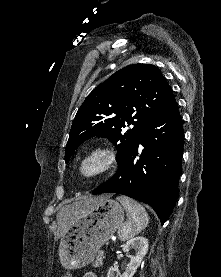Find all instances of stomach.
I'll use <instances>...</instances> for the list:
<instances>
[{
	"label": "stomach",
	"instance_id": "1",
	"mask_svg": "<svg viewBox=\"0 0 221 277\" xmlns=\"http://www.w3.org/2000/svg\"><path fill=\"white\" fill-rule=\"evenodd\" d=\"M124 220L122 206L109 197L83 208L68 223L61 236L59 260L65 269H79L90 264L98 250L120 228Z\"/></svg>",
	"mask_w": 221,
	"mask_h": 277
}]
</instances>
